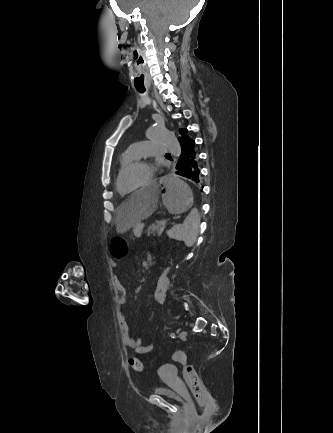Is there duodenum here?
Segmentation results:
<instances>
[{"instance_id":"1","label":"duodenum","mask_w":333,"mask_h":433,"mask_svg":"<svg viewBox=\"0 0 333 433\" xmlns=\"http://www.w3.org/2000/svg\"><path fill=\"white\" fill-rule=\"evenodd\" d=\"M147 260L150 262V261H151V256H148V257H147Z\"/></svg>"}]
</instances>
